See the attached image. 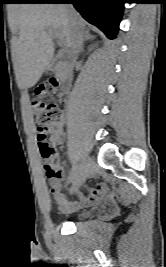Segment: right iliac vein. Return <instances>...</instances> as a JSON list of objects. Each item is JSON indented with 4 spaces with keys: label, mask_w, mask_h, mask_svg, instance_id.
<instances>
[{
    "label": "right iliac vein",
    "mask_w": 166,
    "mask_h": 267,
    "mask_svg": "<svg viewBox=\"0 0 166 267\" xmlns=\"http://www.w3.org/2000/svg\"><path fill=\"white\" fill-rule=\"evenodd\" d=\"M92 171V160L87 154H83L79 172L74 180L72 191L75 192L85 182Z\"/></svg>",
    "instance_id": "obj_1"
}]
</instances>
